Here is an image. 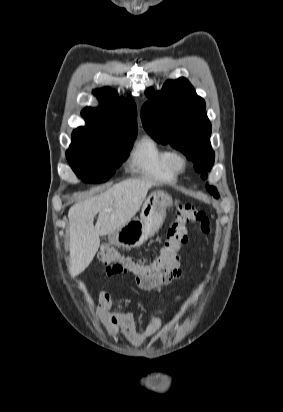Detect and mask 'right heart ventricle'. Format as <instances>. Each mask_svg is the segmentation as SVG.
<instances>
[{
    "label": "right heart ventricle",
    "instance_id": "obj_1",
    "mask_svg": "<svg viewBox=\"0 0 283 412\" xmlns=\"http://www.w3.org/2000/svg\"><path fill=\"white\" fill-rule=\"evenodd\" d=\"M169 153V148L150 136H144L131 151L130 165L139 174L154 180L173 181L176 175L168 167Z\"/></svg>",
    "mask_w": 283,
    "mask_h": 412
}]
</instances>
